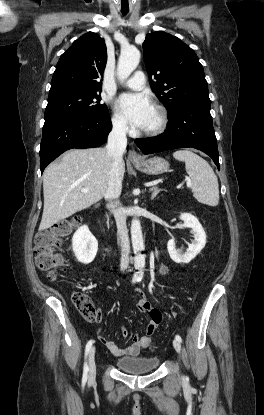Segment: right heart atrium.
I'll use <instances>...</instances> for the list:
<instances>
[{"label": "right heart atrium", "mask_w": 264, "mask_h": 415, "mask_svg": "<svg viewBox=\"0 0 264 415\" xmlns=\"http://www.w3.org/2000/svg\"><path fill=\"white\" fill-rule=\"evenodd\" d=\"M113 129L120 134H127L130 131L126 120L118 113H114L112 117Z\"/></svg>", "instance_id": "right-heart-atrium-1"}]
</instances>
